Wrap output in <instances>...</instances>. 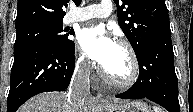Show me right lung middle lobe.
<instances>
[{
  "label": "right lung middle lobe",
  "mask_w": 193,
  "mask_h": 112,
  "mask_svg": "<svg viewBox=\"0 0 193 112\" xmlns=\"http://www.w3.org/2000/svg\"><path fill=\"white\" fill-rule=\"evenodd\" d=\"M63 30L62 23L38 24L16 30L14 55L42 43H52L62 50H71L75 47L73 41L68 39V34L73 31Z\"/></svg>",
  "instance_id": "obj_1"
}]
</instances>
